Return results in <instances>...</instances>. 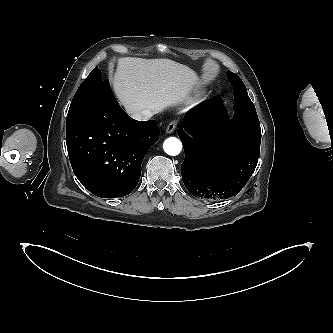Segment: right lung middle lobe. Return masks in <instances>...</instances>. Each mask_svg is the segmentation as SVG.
<instances>
[{
    "instance_id": "1",
    "label": "right lung middle lobe",
    "mask_w": 333,
    "mask_h": 333,
    "mask_svg": "<svg viewBox=\"0 0 333 333\" xmlns=\"http://www.w3.org/2000/svg\"><path fill=\"white\" fill-rule=\"evenodd\" d=\"M108 85V80L102 79V74L96 67L81 83L75 93L67 115V124L88 110L97 94Z\"/></svg>"
}]
</instances>
